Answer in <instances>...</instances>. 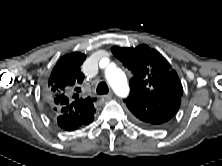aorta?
I'll return each mask as SVG.
<instances>
[{
  "mask_svg": "<svg viewBox=\"0 0 222 166\" xmlns=\"http://www.w3.org/2000/svg\"><path fill=\"white\" fill-rule=\"evenodd\" d=\"M105 76L108 83L118 96L126 97L128 95L129 86L126 75L122 70L117 68L114 64H110L105 70Z\"/></svg>",
  "mask_w": 222,
  "mask_h": 166,
  "instance_id": "1",
  "label": "aorta"
}]
</instances>
